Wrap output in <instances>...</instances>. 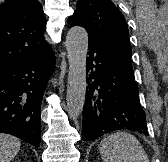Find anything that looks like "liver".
Instances as JSON below:
<instances>
[{"label":"liver","mask_w":168,"mask_h":162,"mask_svg":"<svg viewBox=\"0 0 168 162\" xmlns=\"http://www.w3.org/2000/svg\"><path fill=\"white\" fill-rule=\"evenodd\" d=\"M20 146L18 138L0 133V162H10L18 154Z\"/></svg>","instance_id":"liver-1"}]
</instances>
